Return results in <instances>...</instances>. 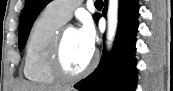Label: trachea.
<instances>
[{"label":"trachea","instance_id":"3493384b","mask_svg":"<svg viewBox=\"0 0 173 91\" xmlns=\"http://www.w3.org/2000/svg\"><path fill=\"white\" fill-rule=\"evenodd\" d=\"M95 6H103V1L102 0H96Z\"/></svg>","mask_w":173,"mask_h":91}]
</instances>
